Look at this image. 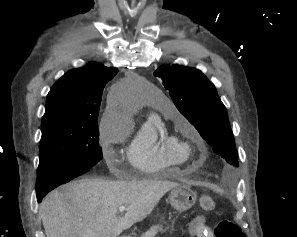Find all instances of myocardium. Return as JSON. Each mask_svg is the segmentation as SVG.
Wrapping results in <instances>:
<instances>
[{"label":"myocardium","mask_w":297,"mask_h":237,"mask_svg":"<svg viewBox=\"0 0 297 237\" xmlns=\"http://www.w3.org/2000/svg\"><path fill=\"white\" fill-rule=\"evenodd\" d=\"M180 141V140H179ZM180 147L184 150L188 155L192 152V146L188 141H180Z\"/></svg>","instance_id":"f54148a6"}]
</instances>
